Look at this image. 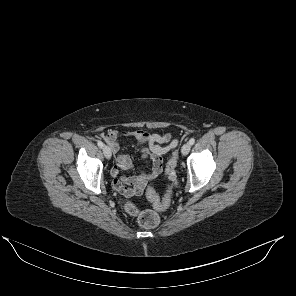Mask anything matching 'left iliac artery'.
<instances>
[{
	"mask_svg": "<svg viewBox=\"0 0 296 296\" xmlns=\"http://www.w3.org/2000/svg\"><path fill=\"white\" fill-rule=\"evenodd\" d=\"M189 143H190V145H193V144L195 143V139H194V138H191V139L189 140Z\"/></svg>",
	"mask_w": 296,
	"mask_h": 296,
	"instance_id": "obj_1",
	"label": "left iliac artery"
}]
</instances>
